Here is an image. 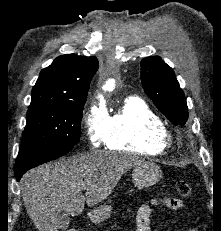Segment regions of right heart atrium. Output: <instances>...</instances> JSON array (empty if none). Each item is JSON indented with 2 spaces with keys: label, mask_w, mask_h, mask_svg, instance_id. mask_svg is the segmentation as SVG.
<instances>
[{
  "label": "right heart atrium",
  "mask_w": 221,
  "mask_h": 231,
  "mask_svg": "<svg viewBox=\"0 0 221 231\" xmlns=\"http://www.w3.org/2000/svg\"><path fill=\"white\" fill-rule=\"evenodd\" d=\"M108 118V113L104 105L93 103L88 108L84 123L88 139L93 146H99L105 141Z\"/></svg>",
  "instance_id": "right-heart-atrium-1"
}]
</instances>
